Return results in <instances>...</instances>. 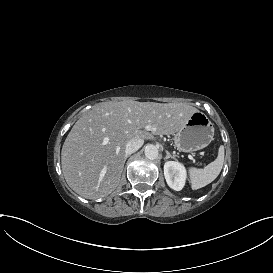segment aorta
Masks as SVG:
<instances>
[{
	"label": "aorta",
	"instance_id": "1",
	"mask_svg": "<svg viewBox=\"0 0 273 273\" xmlns=\"http://www.w3.org/2000/svg\"><path fill=\"white\" fill-rule=\"evenodd\" d=\"M144 153H145L146 158H148L150 160H154L158 157L159 150L155 145L148 144L145 147Z\"/></svg>",
	"mask_w": 273,
	"mask_h": 273
}]
</instances>
